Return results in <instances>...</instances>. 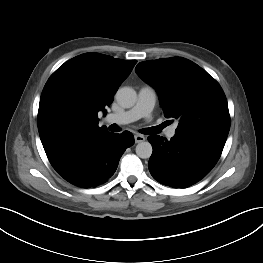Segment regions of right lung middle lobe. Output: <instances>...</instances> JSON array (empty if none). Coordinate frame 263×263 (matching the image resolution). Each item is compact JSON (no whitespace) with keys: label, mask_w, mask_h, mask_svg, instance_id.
I'll return each instance as SVG.
<instances>
[{"label":"right lung middle lobe","mask_w":263,"mask_h":263,"mask_svg":"<svg viewBox=\"0 0 263 263\" xmlns=\"http://www.w3.org/2000/svg\"><path fill=\"white\" fill-rule=\"evenodd\" d=\"M58 122L66 129H71L77 122L76 113L69 107H63L57 115Z\"/></svg>","instance_id":"right-lung-middle-lobe-1"}]
</instances>
